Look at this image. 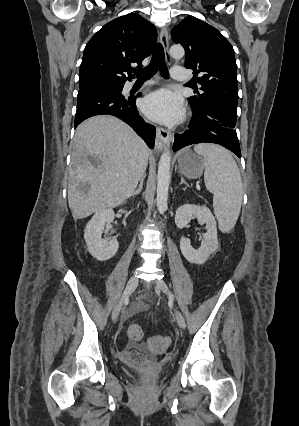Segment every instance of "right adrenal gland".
<instances>
[{"instance_id": "2a0ac1e0", "label": "right adrenal gland", "mask_w": 299, "mask_h": 426, "mask_svg": "<svg viewBox=\"0 0 299 426\" xmlns=\"http://www.w3.org/2000/svg\"><path fill=\"white\" fill-rule=\"evenodd\" d=\"M145 177H146V175L144 174L143 176H142V178L140 179V181H139V185H138V188L134 191V193H133V197L134 196H137V195H139L140 193H141V191H142V189H143V182H144V179H145Z\"/></svg>"}]
</instances>
